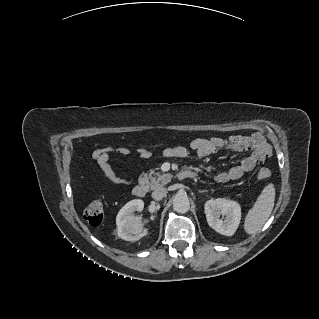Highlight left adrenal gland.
Returning <instances> with one entry per match:
<instances>
[{"label":"left adrenal gland","mask_w":319,"mask_h":319,"mask_svg":"<svg viewBox=\"0 0 319 319\" xmlns=\"http://www.w3.org/2000/svg\"><path fill=\"white\" fill-rule=\"evenodd\" d=\"M203 192H206V190H200V191H199V193H203Z\"/></svg>","instance_id":"1"}]
</instances>
